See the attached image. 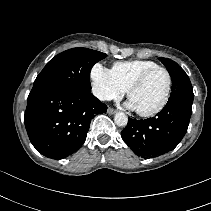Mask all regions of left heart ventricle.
<instances>
[{
	"label": "left heart ventricle",
	"instance_id": "b2bd125f",
	"mask_svg": "<svg viewBox=\"0 0 211 211\" xmlns=\"http://www.w3.org/2000/svg\"><path fill=\"white\" fill-rule=\"evenodd\" d=\"M167 89V76L163 71H156L145 83L135 90L130 102L135 110L149 111L156 108L163 100Z\"/></svg>",
	"mask_w": 211,
	"mask_h": 211
}]
</instances>
